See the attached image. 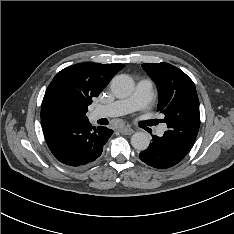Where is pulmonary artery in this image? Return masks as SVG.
<instances>
[{
    "label": "pulmonary artery",
    "instance_id": "obj_1",
    "mask_svg": "<svg viewBox=\"0 0 234 234\" xmlns=\"http://www.w3.org/2000/svg\"><path fill=\"white\" fill-rule=\"evenodd\" d=\"M153 83L148 79H143L138 82L133 95L128 98L117 100L109 105L98 106L92 117L94 119L101 117H114L126 114L136 109H144L151 100ZM165 127H159L157 134L162 136Z\"/></svg>",
    "mask_w": 234,
    "mask_h": 234
}]
</instances>
